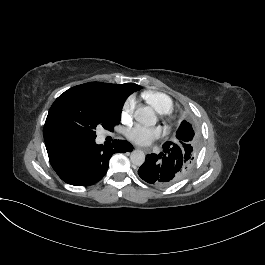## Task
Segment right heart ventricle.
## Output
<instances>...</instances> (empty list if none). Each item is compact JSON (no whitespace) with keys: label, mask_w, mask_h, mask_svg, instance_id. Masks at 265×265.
<instances>
[{"label":"right heart ventricle","mask_w":265,"mask_h":265,"mask_svg":"<svg viewBox=\"0 0 265 265\" xmlns=\"http://www.w3.org/2000/svg\"><path fill=\"white\" fill-rule=\"evenodd\" d=\"M142 97L160 114H169L173 110L172 101L162 94L146 92Z\"/></svg>","instance_id":"obj_1"}]
</instances>
